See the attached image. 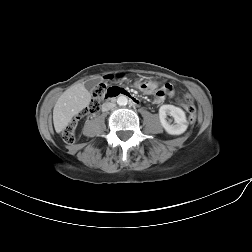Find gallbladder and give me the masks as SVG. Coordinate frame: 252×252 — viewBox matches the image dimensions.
Returning a JSON list of instances; mask_svg holds the SVG:
<instances>
[{"instance_id":"gallbladder-1","label":"gallbladder","mask_w":252,"mask_h":252,"mask_svg":"<svg viewBox=\"0 0 252 252\" xmlns=\"http://www.w3.org/2000/svg\"><path fill=\"white\" fill-rule=\"evenodd\" d=\"M97 85V81H88L85 83V88L89 91H92Z\"/></svg>"}]
</instances>
